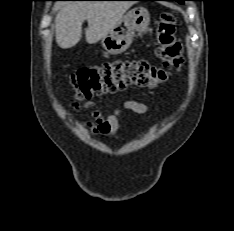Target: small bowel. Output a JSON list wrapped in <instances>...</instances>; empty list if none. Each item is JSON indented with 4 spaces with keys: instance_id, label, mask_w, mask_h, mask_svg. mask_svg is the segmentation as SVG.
Wrapping results in <instances>:
<instances>
[{
    "instance_id": "obj_1",
    "label": "small bowel",
    "mask_w": 234,
    "mask_h": 231,
    "mask_svg": "<svg viewBox=\"0 0 234 231\" xmlns=\"http://www.w3.org/2000/svg\"><path fill=\"white\" fill-rule=\"evenodd\" d=\"M91 106V104H89ZM150 107L136 100H128L120 108L113 110L110 114L104 115L98 110L91 111L90 120L84 122L94 134L103 137H113L116 135L119 127V119L126 112L130 111L136 114H145Z\"/></svg>"
}]
</instances>
